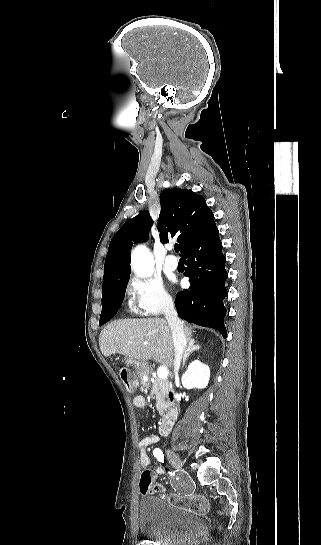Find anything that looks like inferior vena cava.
<instances>
[{"label":"inferior vena cava","mask_w":321,"mask_h":545,"mask_svg":"<svg viewBox=\"0 0 321 545\" xmlns=\"http://www.w3.org/2000/svg\"><path fill=\"white\" fill-rule=\"evenodd\" d=\"M164 315L172 333L174 345V373H178L186 347V337L183 331L184 327L177 317L172 299L166 301L164 305Z\"/></svg>","instance_id":"602c4592"}]
</instances>
